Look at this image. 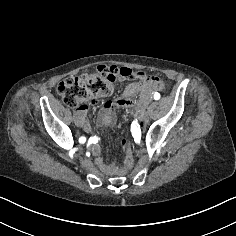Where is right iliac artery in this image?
<instances>
[{
    "label": "right iliac artery",
    "mask_w": 236,
    "mask_h": 236,
    "mask_svg": "<svg viewBox=\"0 0 236 236\" xmlns=\"http://www.w3.org/2000/svg\"><path fill=\"white\" fill-rule=\"evenodd\" d=\"M85 141H86V138H85V137H80V138H79V142H80V143L84 144Z\"/></svg>",
    "instance_id": "obj_1"
}]
</instances>
